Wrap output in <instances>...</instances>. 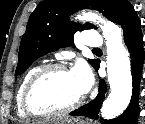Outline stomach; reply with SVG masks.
I'll return each mask as SVG.
<instances>
[{
    "mask_svg": "<svg viewBox=\"0 0 145 124\" xmlns=\"http://www.w3.org/2000/svg\"><path fill=\"white\" fill-rule=\"evenodd\" d=\"M47 124H92V123L80 119L58 118L56 120L50 121Z\"/></svg>",
    "mask_w": 145,
    "mask_h": 124,
    "instance_id": "stomach-1",
    "label": "stomach"
}]
</instances>
